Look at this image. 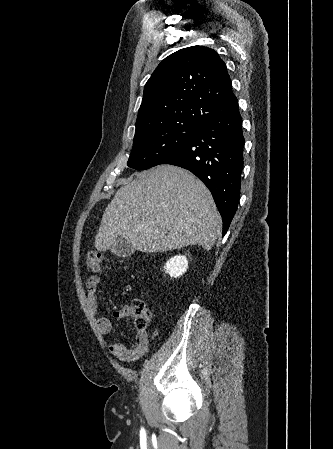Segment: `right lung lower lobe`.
Instances as JSON below:
<instances>
[{"label":"right lung lower lobe","mask_w":333,"mask_h":449,"mask_svg":"<svg viewBox=\"0 0 333 449\" xmlns=\"http://www.w3.org/2000/svg\"><path fill=\"white\" fill-rule=\"evenodd\" d=\"M238 103V102H237ZM244 137L237 106L200 127L158 162L191 171L211 191L227 232L240 199Z\"/></svg>","instance_id":"1"}]
</instances>
